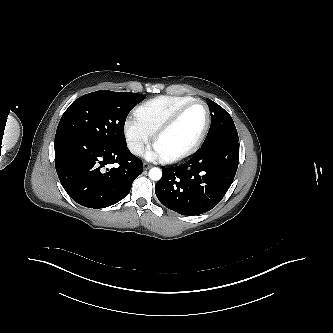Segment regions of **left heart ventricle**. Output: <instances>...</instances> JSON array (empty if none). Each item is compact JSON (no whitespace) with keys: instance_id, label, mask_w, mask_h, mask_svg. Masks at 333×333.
<instances>
[{"instance_id":"b2bd125f","label":"left heart ventricle","mask_w":333,"mask_h":333,"mask_svg":"<svg viewBox=\"0 0 333 333\" xmlns=\"http://www.w3.org/2000/svg\"><path fill=\"white\" fill-rule=\"evenodd\" d=\"M206 121L202 104L191 106L156 143V148L169 157L187 150L199 137Z\"/></svg>"}]
</instances>
